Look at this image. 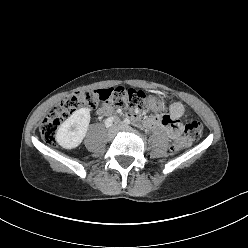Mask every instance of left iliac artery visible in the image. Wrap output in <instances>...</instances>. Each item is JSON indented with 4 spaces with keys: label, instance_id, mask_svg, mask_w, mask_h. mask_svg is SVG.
Segmentation results:
<instances>
[{
    "label": "left iliac artery",
    "instance_id": "1",
    "mask_svg": "<svg viewBox=\"0 0 248 248\" xmlns=\"http://www.w3.org/2000/svg\"><path fill=\"white\" fill-rule=\"evenodd\" d=\"M124 123H125V124H131V121H130L129 119H125V120H124Z\"/></svg>",
    "mask_w": 248,
    "mask_h": 248
}]
</instances>
